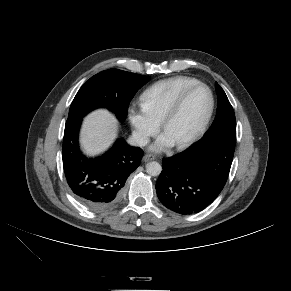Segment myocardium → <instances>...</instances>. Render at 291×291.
Listing matches in <instances>:
<instances>
[{"mask_svg":"<svg viewBox=\"0 0 291 291\" xmlns=\"http://www.w3.org/2000/svg\"><path fill=\"white\" fill-rule=\"evenodd\" d=\"M197 88H205L208 93H209V97H210V104H209V108L200 124V126L198 127V129L186 140L179 142L176 145V148L179 150H184L189 148L190 146H192L194 143H196L204 134L209 121L212 117L213 111H214V107H215V99H214V94L211 90V88L202 82H198L195 83L187 88H185L179 95L178 97L175 99V101L172 103V105L169 107V109L167 110V112L165 113V115L163 116L162 120H161V128L163 131H165L168 123L172 120V118L177 114V112L179 111V109L181 108L182 104L184 103L185 99L187 98V96L194 91Z\"/></svg>","mask_w":291,"mask_h":291,"instance_id":"obj_1","label":"myocardium"}]
</instances>
